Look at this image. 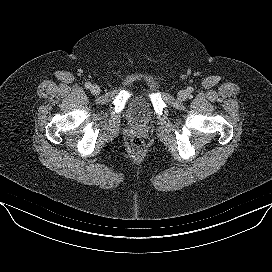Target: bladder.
I'll return each instance as SVG.
<instances>
[{"label": "bladder", "instance_id": "bladder-1", "mask_svg": "<svg viewBox=\"0 0 272 272\" xmlns=\"http://www.w3.org/2000/svg\"><path fill=\"white\" fill-rule=\"evenodd\" d=\"M129 119L135 124H146L151 118L150 102L148 98L139 93L135 95L128 105Z\"/></svg>", "mask_w": 272, "mask_h": 272}]
</instances>
